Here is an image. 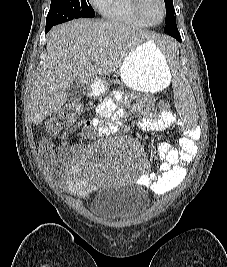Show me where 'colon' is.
<instances>
[{
    "label": "colon",
    "instance_id": "5ec220e1",
    "mask_svg": "<svg viewBox=\"0 0 227 267\" xmlns=\"http://www.w3.org/2000/svg\"><path fill=\"white\" fill-rule=\"evenodd\" d=\"M159 109H172L170 100H161ZM84 106L81 103L74 104L58 113L52 115L46 122L45 130L48 135H56L60 131L70 127L79 115L83 112Z\"/></svg>",
    "mask_w": 227,
    "mask_h": 267
}]
</instances>
